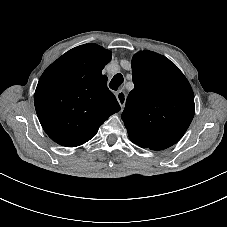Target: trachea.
<instances>
[{"label": "trachea", "mask_w": 227, "mask_h": 227, "mask_svg": "<svg viewBox=\"0 0 227 227\" xmlns=\"http://www.w3.org/2000/svg\"><path fill=\"white\" fill-rule=\"evenodd\" d=\"M123 81H124V78L122 74L118 73L112 78L111 82L109 83V87L112 90H117L121 86Z\"/></svg>", "instance_id": "trachea-1"}]
</instances>
